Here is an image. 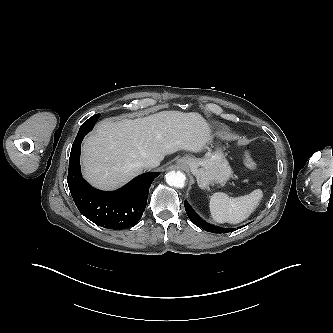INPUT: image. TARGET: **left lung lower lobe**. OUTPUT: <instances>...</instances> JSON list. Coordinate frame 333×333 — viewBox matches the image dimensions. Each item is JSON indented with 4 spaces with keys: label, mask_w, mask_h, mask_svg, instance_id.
<instances>
[{
    "label": "left lung lower lobe",
    "mask_w": 333,
    "mask_h": 333,
    "mask_svg": "<svg viewBox=\"0 0 333 333\" xmlns=\"http://www.w3.org/2000/svg\"><path fill=\"white\" fill-rule=\"evenodd\" d=\"M186 213L189 217V219L198 227L204 229L205 231L208 232H214V233H228L234 230V228H223V227H218L212 224H209L202 219H200L189 207V205L185 202L184 203Z\"/></svg>",
    "instance_id": "1"
}]
</instances>
